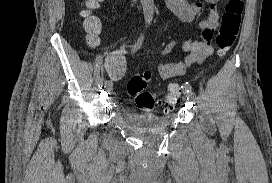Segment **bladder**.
<instances>
[{
    "mask_svg": "<svg viewBox=\"0 0 272 183\" xmlns=\"http://www.w3.org/2000/svg\"><path fill=\"white\" fill-rule=\"evenodd\" d=\"M122 119L130 129L142 132H159L170 125L172 116L170 114L159 116L125 110L122 113Z\"/></svg>",
    "mask_w": 272,
    "mask_h": 183,
    "instance_id": "31cf9c89",
    "label": "bladder"
}]
</instances>
